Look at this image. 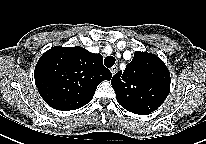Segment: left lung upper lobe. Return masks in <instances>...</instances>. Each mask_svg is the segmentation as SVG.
I'll use <instances>...</instances> for the list:
<instances>
[{
	"label": "left lung upper lobe",
	"mask_w": 206,
	"mask_h": 144,
	"mask_svg": "<svg viewBox=\"0 0 206 144\" xmlns=\"http://www.w3.org/2000/svg\"><path fill=\"white\" fill-rule=\"evenodd\" d=\"M170 83V73L163 61L139 51L134 53L125 71H119L111 80L118 103L140 115L158 109L169 94Z\"/></svg>",
	"instance_id": "left-lung-upper-lobe-1"
}]
</instances>
